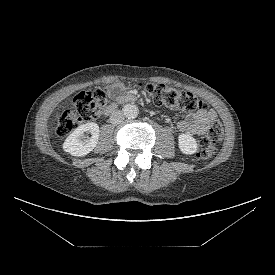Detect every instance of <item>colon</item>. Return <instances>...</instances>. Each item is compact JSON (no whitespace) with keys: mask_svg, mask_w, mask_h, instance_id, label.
Here are the masks:
<instances>
[{"mask_svg":"<svg viewBox=\"0 0 275 275\" xmlns=\"http://www.w3.org/2000/svg\"><path fill=\"white\" fill-rule=\"evenodd\" d=\"M140 88L155 105L175 108L186 113L206 109L204 102L196 95L177 90L162 83L141 84ZM106 101V93L101 88L82 91L75 95L73 98V109L65 110L61 113L56 130L57 134L66 136L85 122L98 118L104 111ZM222 137L223 128L220 122H213L199 139L197 157L200 159L213 157L217 151V144Z\"/></svg>","mask_w":275,"mask_h":275,"instance_id":"colon-1","label":"colon"}]
</instances>
